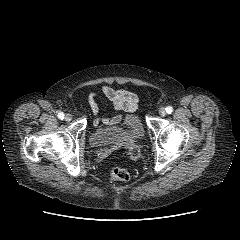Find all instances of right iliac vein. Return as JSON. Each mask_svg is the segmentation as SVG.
<instances>
[{"mask_svg": "<svg viewBox=\"0 0 240 240\" xmlns=\"http://www.w3.org/2000/svg\"><path fill=\"white\" fill-rule=\"evenodd\" d=\"M64 119H65V121H67V122L71 121V120H72V114L67 113V114L65 115Z\"/></svg>", "mask_w": 240, "mask_h": 240, "instance_id": "1", "label": "right iliac vein"}]
</instances>
